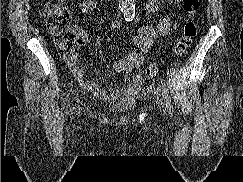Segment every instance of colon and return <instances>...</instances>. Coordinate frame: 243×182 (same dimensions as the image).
<instances>
[{
	"instance_id": "5ec220e1",
	"label": "colon",
	"mask_w": 243,
	"mask_h": 182,
	"mask_svg": "<svg viewBox=\"0 0 243 182\" xmlns=\"http://www.w3.org/2000/svg\"><path fill=\"white\" fill-rule=\"evenodd\" d=\"M199 0H184L183 9L189 19L185 22L182 34L173 49L175 56L183 55L191 46L196 34L197 25L194 16L199 10ZM41 16L47 29L53 36L55 47L59 55L70 60L74 58L77 51L78 40L76 31L70 25V11L64 4V0H57L46 4L41 10ZM160 71L158 64H152L142 71L146 79L154 78Z\"/></svg>"
}]
</instances>
